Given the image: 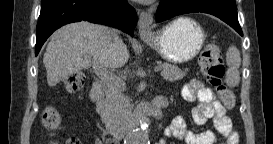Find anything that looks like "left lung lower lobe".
Listing matches in <instances>:
<instances>
[{"mask_svg":"<svg viewBox=\"0 0 273 144\" xmlns=\"http://www.w3.org/2000/svg\"><path fill=\"white\" fill-rule=\"evenodd\" d=\"M192 12H204L214 15L243 35L237 17L235 0H161L156 22Z\"/></svg>","mask_w":273,"mask_h":144,"instance_id":"1","label":"left lung lower lobe"}]
</instances>
